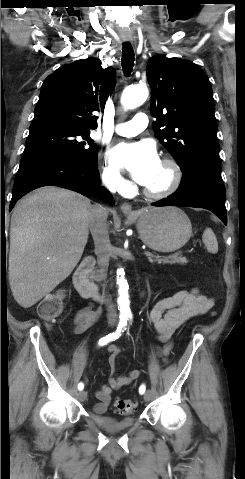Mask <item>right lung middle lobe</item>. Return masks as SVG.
Instances as JSON below:
<instances>
[{
  "label": "right lung middle lobe",
  "mask_w": 245,
  "mask_h": 479,
  "mask_svg": "<svg viewBox=\"0 0 245 479\" xmlns=\"http://www.w3.org/2000/svg\"><path fill=\"white\" fill-rule=\"evenodd\" d=\"M89 130L65 125L30 127L21 162L43 156H65L97 166L98 148Z\"/></svg>",
  "instance_id": "1"
}]
</instances>
